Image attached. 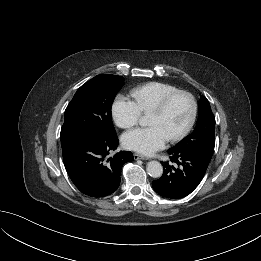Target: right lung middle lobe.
Returning <instances> with one entry per match:
<instances>
[{
    "label": "right lung middle lobe",
    "instance_id": "1",
    "mask_svg": "<svg viewBox=\"0 0 261 261\" xmlns=\"http://www.w3.org/2000/svg\"><path fill=\"white\" fill-rule=\"evenodd\" d=\"M124 85L122 76L97 75L83 84L65 110L61 128L62 147L82 138L116 135L111 107L118 91Z\"/></svg>",
    "mask_w": 261,
    "mask_h": 261
}]
</instances>
